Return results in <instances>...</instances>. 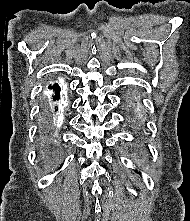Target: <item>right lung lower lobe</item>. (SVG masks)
<instances>
[{
  "mask_svg": "<svg viewBox=\"0 0 190 221\" xmlns=\"http://www.w3.org/2000/svg\"><path fill=\"white\" fill-rule=\"evenodd\" d=\"M49 89L54 91V95L52 96V103L45 101L42 105L39 117V137L51 155L58 156L60 147L58 140L54 137L55 116L58 107L54 102L60 99V87L58 84H54L49 86Z\"/></svg>",
  "mask_w": 190,
  "mask_h": 221,
  "instance_id": "right-lung-lower-lobe-1",
  "label": "right lung lower lobe"
}]
</instances>
